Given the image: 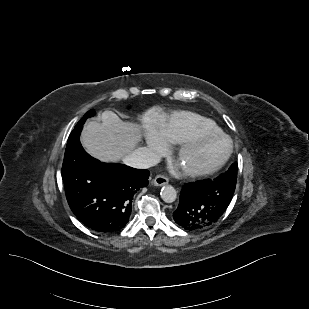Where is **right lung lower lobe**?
I'll return each mask as SVG.
<instances>
[{
  "label": "right lung lower lobe",
  "instance_id": "right-lung-lower-lobe-1",
  "mask_svg": "<svg viewBox=\"0 0 309 309\" xmlns=\"http://www.w3.org/2000/svg\"><path fill=\"white\" fill-rule=\"evenodd\" d=\"M84 122L69 135L62 166L68 204L88 228L100 233L121 230L129 221L134 194L148 185L149 171L121 164H106L82 148Z\"/></svg>",
  "mask_w": 309,
  "mask_h": 309
}]
</instances>
